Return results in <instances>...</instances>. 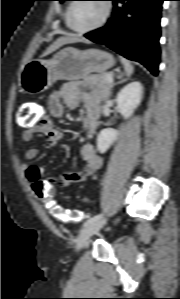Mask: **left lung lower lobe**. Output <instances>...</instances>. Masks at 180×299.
<instances>
[{
	"instance_id": "left-lung-lower-lobe-1",
	"label": "left lung lower lobe",
	"mask_w": 180,
	"mask_h": 299,
	"mask_svg": "<svg viewBox=\"0 0 180 299\" xmlns=\"http://www.w3.org/2000/svg\"><path fill=\"white\" fill-rule=\"evenodd\" d=\"M113 13L106 26L85 34L127 59L158 74L160 18L164 0H109Z\"/></svg>"
}]
</instances>
